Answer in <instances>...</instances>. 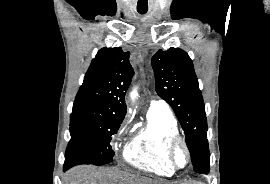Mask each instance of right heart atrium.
<instances>
[{"label":"right heart atrium","mask_w":270,"mask_h":184,"mask_svg":"<svg viewBox=\"0 0 270 184\" xmlns=\"http://www.w3.org/2000/svg\"><path fill=\"white\" fill-rule=\"evenodd\" d=\"M129 122H130V118H129L128 116L125 117L124 120L121 122V124H120L118 130H117V135L121 134V133L125 130V128H126V127L128 126V124H129Z\"/></svg>","instance_id":"1"}]
</instances>
